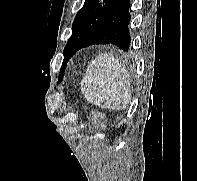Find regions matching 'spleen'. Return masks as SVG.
<instances>
[{
	"label": "spleen",
	"mask_w": 197,
	"mask_h": 181,
	"mask_svg": "<svg viewBox=\"0 0 197 181\" xmlns=\"http://www.w3.org/2000/svg\"><path fill=\"white\" fill-rule=\"evenodd\" d=\"M130 76L113 54H99L88 65L81 81L85 99L102 108L122 110L131 99Z\"/></svg>",
	"instance_id": "1"
}]
</instances>
